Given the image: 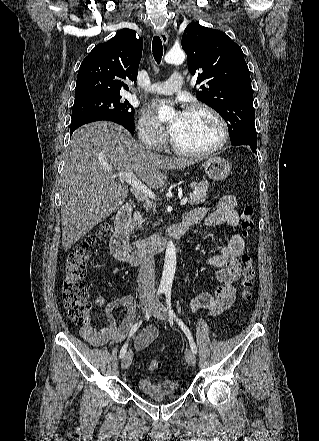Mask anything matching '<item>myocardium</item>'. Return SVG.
Wrapping results in <instances>:
<instances>
[{"instance_id": "1", "label": "myocardium", "mask_w": 319, "mask_h": 441, "mask_svg": "<svg viewBox=\"0 0 319 441\" xmlns=\"http://www.w3.org/2000/svg\"><path fill=\"white\" fill-rule=\"evenodd\" d=\"M195 111H205L209 113L211 116H213L214 119L218 122L221 130V137L219 142L209 149L201 150V151H193L181 147L174 139L173 135L171 134L170 144L172 149L180 155L189 156V157H207L218 152L226 145L229 138L228 126L223 116L216 109H214L213 107L207 104L194 103L188 106L187 112H195Z\"/></svg>"}]
</instances>
